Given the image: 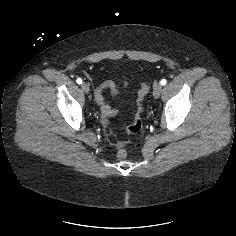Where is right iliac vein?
<instances>
[{
  "label": "right iliac vein",
  "instance_id": "1",
  "mask_svg": "<svg viewBox=\"0 0 236 236\" xmlns=\"http://www.w3.org/2000/svg\"><path fill=\"white\" fill-rule=\"evenodd\" d=\"M81 89L85 93H89V91H90V87H89L88 83H85V82L81 84Z\"/></svg>",
  "mask_w": 236,
  "mask_h": 236
}]
</instances>
